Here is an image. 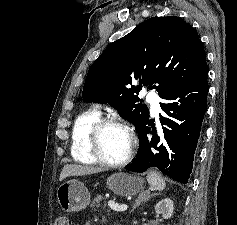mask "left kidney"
Masks as SVG:
<instances>
[{
    "mask_svg": "<svg viewBox=\"0 0 237 225\" xmlns=\"http://www.w3.org/2000/svg\"><path fill=\"white\" fill-rule=\"evenodd\" d=\"M174 210L173 201L169 198H165L159 201L155 206V211L157 214H162L165 219L171 218Z\"/></svg>",
    "mask_w": 237,
    "mask_h": 225,
    "instance_id": "1",
    "label": "left kidney"
}]
</instances>
